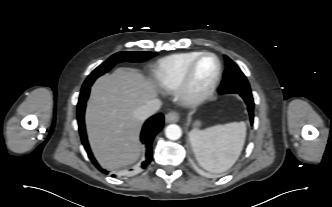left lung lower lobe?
<instances>
[{"mask_svg":"<svg viewBox=\"0 0 332 207\" xmlns=\"http://www.w3.org/2000/svg\"><path fill=\"white\" fill-rule=\"evenodd\" d=\"M220 94H224V93H220ZM239 95L244 99L245 103L247 104L249 115H250V121H251V123H253L254 100H253L252 94L251 93H241Z\"/></svg>","mask_w":332,"mask_h":207,"instance_id":"1","label":"left lung lower lobe"}]
</instances>
